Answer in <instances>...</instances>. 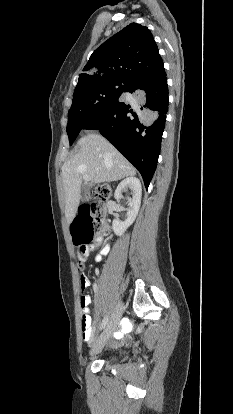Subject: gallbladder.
Returning a JSON list of instances; mask_svg holds the SVG:
<instances>
[{"instance_id":"1","label":"gallbladder","mask_w":233,"mask_h":414,"mask_svg":"<svg viewBox=\"0 0 233 414\" xmlns=\"http://www.w3.org/2000/svg\"><path fill=\"white\" fill-rule=\"evenodd\" d=\"M92 185L90 183H84L81 186L82 201L85 203L89 200L88 196Z\"/></svg>"}]
</instances>
